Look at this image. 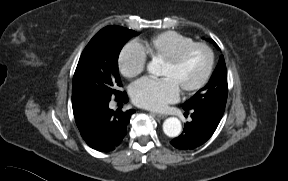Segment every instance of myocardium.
Here are the masks:
<instances>
[{
    "label": "myocardium",
    "instance_id": "1",
    "mask_svg": "<svg viewBox=\"0 0 288 181\" xmlns=\"http://www.w3.org/2000/svg\"><path fill=\"white\" fill-rule=\"evenodd\" d=\"M196 48H202L204 49L207 54H208V64H207V68L206 71L204 73V75L202 76V78L193 86L188 87L186 89L181 90L183 94H191L194 92L199 91L200 89H202L210 80L213 70H214V65H215V53L213 51V49L206 43L203 42H194L192 44H189L181 49H179L176 53H174L172 56L163 59L162 62L170 65V66H175L177 64H179L182 59L193 49Z\"/></svg>",
    "mask_w": 288,
    "mask_h": 181
}]
</instances>
